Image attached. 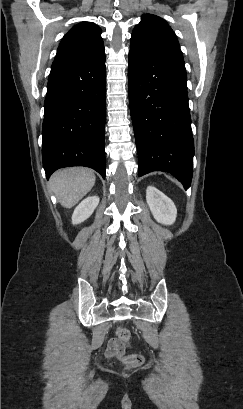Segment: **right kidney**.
Segmentation results:
<instances>
[{
	"instance_id": "ca27d5eb",
	"label": "right kidney",
	"mask_w": 243,
	"mask_h": 409,
	"mask_svg": "<svg viewBox=\"0 0 243 409\" xmlns=\"http://www.w3.org/2000/svg\"><path fill=\"white\" fill-rule=\"evenodd\" d=\"M99 203L98 196H90L84 199L74 210L72 224H80L89 218Z\"/></svg>"
}]
</instances>
